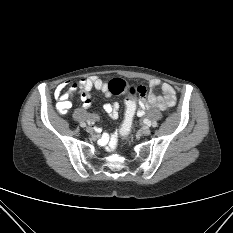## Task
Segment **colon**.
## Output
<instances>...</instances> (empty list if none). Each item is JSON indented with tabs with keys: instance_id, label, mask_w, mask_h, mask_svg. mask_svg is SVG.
I'll use <instances>...</instances> for the list:
<instances>
[{
	"instance_id": "obj_1",
	"label": "colon",
	"mask_w": 233,
	"mask_h": 233,
	"mask_svg": "<svg viewBox=\"0 0 233 233\" xmlns=\"http://www.w3.org/2000/svg\"><path fill=\"white\" fill-rule=\"evenodd\" d=\"M109 89L115 95L127 94L124 101V116L120 128V134L125 139L131 132L132 122L137 111V101L146 96V89L141 85L129 84L122 79L111 80L109 82Z\"/></svg>"
}]
</instances>
